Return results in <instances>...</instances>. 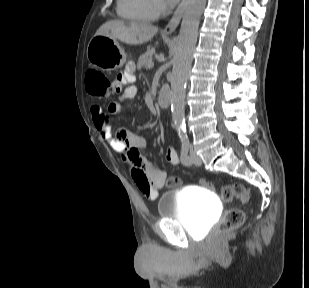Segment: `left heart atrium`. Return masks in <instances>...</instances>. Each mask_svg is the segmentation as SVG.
Segmentation results:
<instances>
[{
  "mask_svg": "<svg viewBox=\"0 0 309 288\" xmlns=\"http://www.w3.org/2000/svg\"><path fill=\"white\" fill-rule=\"evenodd\" d=\"M172 3H176L178 0H170Z\"/></svg>",
  "mask_w": 309,
  "mask_h": 288,
  "instance_id": "1",
  "label": "left heart atrium"
}]
</instances>
